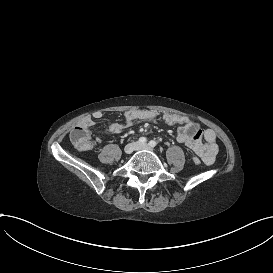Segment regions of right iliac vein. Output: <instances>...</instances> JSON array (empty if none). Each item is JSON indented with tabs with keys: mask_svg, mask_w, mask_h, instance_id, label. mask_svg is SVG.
Instances as JSON below:
<instances>
[{
	"mask_svg": "<svg viewBox=\"0 0 273 273\" xmlns=\"http://www.w3.org/2000/svg\"><path fill=\"white\" fill-rule=\"evenodd\" d=\"M137 147H138V143L132 142L125 146L124 151L126 154H131Z\"/></svg>",
	"mask_w": 273,
	"mask_h": 273,
	"instance_id": "right-iliac-vein-1",
	"label": "right iliac vein"
}]
</instances>
